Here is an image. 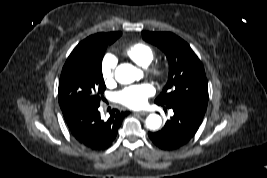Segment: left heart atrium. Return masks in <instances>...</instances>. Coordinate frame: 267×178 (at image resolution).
<instances>
[{"instance_id": "39dd6f15", "label": "left heart atrium", "mask_w": 267, "mask_h": 178, "mask_svg": "<svg viewBox=\"0 0 267 178\" xmlns=\"http://www.w3.org/2000/svg\"><path fill=\"white\" fill-rule=\"evenodd\" d=\"M154 93L155 89L150 83H142L125 87L116 94L115 98L125 107L138 109L145 106Z\"/></svg>"}]
</instances>
